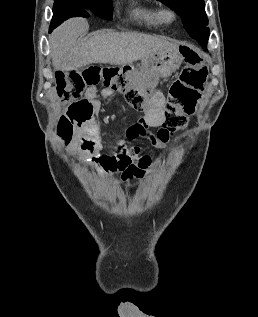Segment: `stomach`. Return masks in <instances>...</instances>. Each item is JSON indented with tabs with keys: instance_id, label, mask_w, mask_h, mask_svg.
I'll use <instances>...</instances> for the list:
<instances>
[{
	"instance_id": "1",
	"label": "stomach",
	"mask_w": 258,
	"mask_h": 317,
	"mask_svg": "<svg viewBox=\"0 0 258 317\" xmlns=\"http://www.w3.org/2000/svg\"><path fill=\"white\" fill-rule=\"evenodd\" d=\"M182 44H177L175 48L171 50H156V52H150L148 56L141 58V66L136 68L132 62H128V68L131 70H137L138 74H152L157 72L159 76H170L171 72H174L176 68H179L181 62H183V56L181 52Z\"/></svg>"
}]
</instances>
